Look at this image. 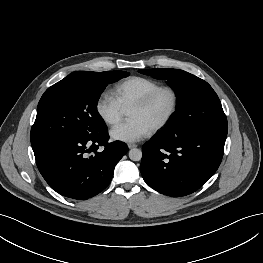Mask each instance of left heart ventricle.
<instances>
[{"instance_id":"1","label":"left heart ventricle","mask_w":263,"mask_h":263,"mask_svg":"<svg viewBox=\"0 0 263 263\" xmlns=\"http://www.w3.org/2000/svg\"><path fill=\"white\" fill-rule=\"evenodd\" d=\"M171 102L170 94L162 92L147 108H131L129 110V117L139 118L152 128L169 112Z\"/></svg>"}]
</instances>
